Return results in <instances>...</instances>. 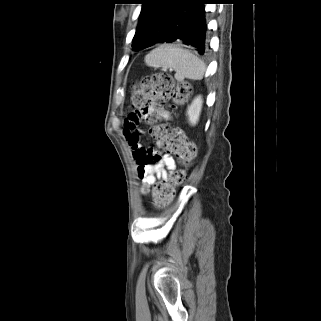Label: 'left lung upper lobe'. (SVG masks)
I'll list each match as a JSON object with an SVG mask.
<instances>
[{"label":"left lung upper lobe","instance_id":"5c2ea615","mask_svg":"<svg viewBox=\"0 0 321 321\" xmlns=\"http://www.w3.org/2000/svg\"><path fill=\"white\" fill-rule=\"evenodd\" d=\"M143 4L132 47L140 50L163 39L166 24L178 0H140Z\"/></svg>","mask_w":321,"mask_h":321}]
</instances>
